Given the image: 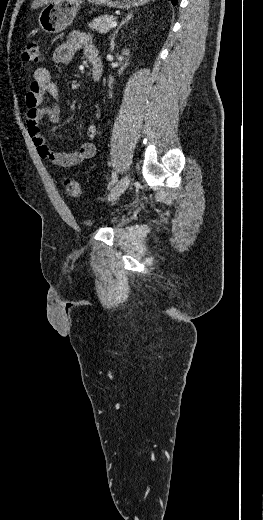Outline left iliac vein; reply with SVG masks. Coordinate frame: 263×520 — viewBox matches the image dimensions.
<instances>
[{"mask_svg": "<svg viewBox=\"0 0 263 520\" xmlns=\"http://www.w3.org/2000/svg\"><path fill=\"white\" fill-rule=\"evenodd\" d=\"M130 182V177L128 174L124 175L114 186V188L111 190L108 200L109 201H115L118 199L124 191L127 189Z\"/></svg>", "mask_w": 263, "mask_h": 520, "instance_id": "left-iliac-vein-1", "label": "left iliac vein"}]
</instances>
